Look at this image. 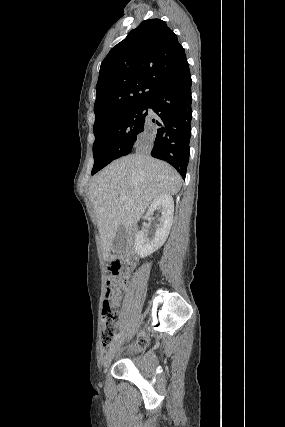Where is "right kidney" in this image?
Wrapping results in <instances>:
<instances>
[{
    "label": "right kidney",
    "mask_w": 285,
    "mask_h": 427,
    "mask_svg": "<svg viewBox=\"0 0 285 427\" xmlns=\"http://www.w3.org/2000/svg\"><path fill=\"white\" fill-rule=\"evenodd\" d=\"M155 211L161 213L156 226L155 236L150 240L143 230L138 232L135 239V251L141 258H145L158 250L168 238L174 212V200L170 195H162L155 199L149 206L146 219H153Z\"/></svg>",
    "instance_id": "ca27d5eb"
}]
</instances>
